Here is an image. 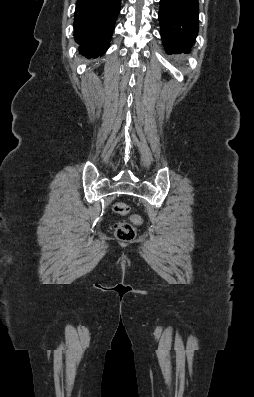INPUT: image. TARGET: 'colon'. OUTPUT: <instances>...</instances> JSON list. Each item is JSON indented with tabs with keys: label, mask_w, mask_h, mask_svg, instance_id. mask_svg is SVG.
Returning <instances> with one entry per match:
<instances>
[{
	"label": "colon",
	"mask_w": 254,
	"mask_h": 397,
	"mask_svg": "<svg viewBox=\"0 0 254 397\" xmlns=\"http://www.w3.org/2000/svg\"><path fill=\"white\" fill-rule=\"evenodd\" d=\"M113 210L117 214L127 215L130 212V207L124 202H115ZM113 230L116 238L120 241L129 242L135 238L134 227L128 222L115 223Z\"/></svg>",
	"instance_id": "5ec220e1"
}]
</instances>
